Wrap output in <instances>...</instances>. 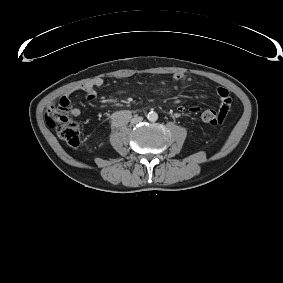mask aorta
<instances>
[{
	"label": "aorta",
	"mask_w": 283,
	"mask_h": 283,
	"mask_svg": "<svg viewBox=\"0 0 283 283\" xmlns=\"http://www.w3.org/2000/svg\"><path fill=\"white\" fill-rule=\"evenodd\" d=\"M147 119L150 121V122H155L157 121L158 119V114L154 111H151L148 113L147 115Z\"/></svg>",
	"instance_id": "1"
}]
</instances>
